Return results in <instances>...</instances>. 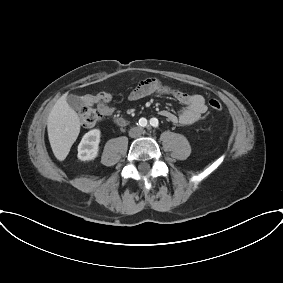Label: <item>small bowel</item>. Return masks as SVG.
Wrapping results in <instances>:
<instances>
[{
	"label": "small bowel",
	"instance_id": "1",
	"mask_svg": "<svg viewBox=\"0 0 283 283\" xmlns=\"http://www.w3.org/2000/svg\"><path fill=\"white\" fill-rule=\"evenodd\" d=\"M170 94L178 100L184 107L178 114L169 110L160 111V115L172 123L190 125L199 120L202 114L207 110L205 99L200 94H189L180 90H171L168 87L160 85L154 79L144 80L139 83L128 94L129 101H138L151 94ZM112 95L105 91H99L96 94H86L82 101L87 106L97 105L99 111L104 116H110L114 113V108L109 105Z\"/></svg>",
	"mask_w": 283,
	"mask_h": 283
}]
</instances>
